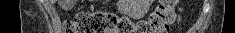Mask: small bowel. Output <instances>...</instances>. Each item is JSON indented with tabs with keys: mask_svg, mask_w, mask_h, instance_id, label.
<instances>
[{
	"mask_svg": "<svg viewBox=\"0 0 235 33\" xmlns=\"http://www.w3.org/2000/svg\"><path fill=\"white\" fill-rule=\"evenodd\" d=\"M150 3H151L150 0H139V1H135L132 6L123 5L121 8L124 11H134L135 14H141V13H144L148 9V6L150 5ZM180 20H181V16L178 15L175 17V20L173 23L179 24Z\"/></svg>",
	"mask_w": 235,
	"mask_h": 33,
	"instance_id": "obj_1",
	"label": "small bowel"
}]
</instances>
